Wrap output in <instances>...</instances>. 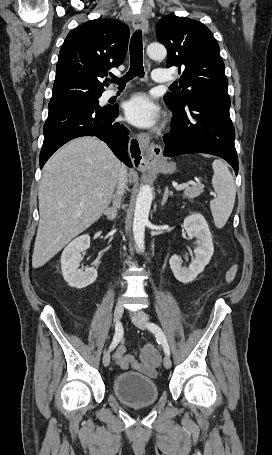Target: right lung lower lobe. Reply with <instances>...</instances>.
I'll return each mask as SVG.
<instances>
[{"label":"right lung lower lobe","instance_id":"right-lung-lower-lobe-1","mask_svg":"<svg viewBox=\"0 0 272 455\" xmlns=\"http://www.w3.org/2000/svg\"><path fill=\"white\" fill-rule=\"evenodd\" d=\"M118 107L97 109H64L48 115L44 124V142L40 152V167L68 141L81 136H96L127 166L132 163L127 155L128 130L114 123Z\"/></svg>","mask_w":272,"mask_h":455}]
</instances>
